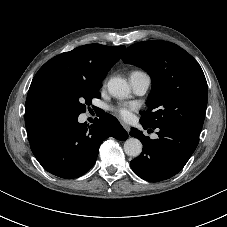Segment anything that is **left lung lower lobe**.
I'll list each match as a JSON object with an SVG mask.
<instances>
[{"instance_id": "left-lung-lower-lobe-1", "label": "left lung lower lobe", "mask_w": 227, "mask_h": 227, "mask_svg": "<svg viewBox=\"0 0 227 227\" xmlns=\"http://www.w3.org/2000/svg\"><path fill=\"white\" fill-rule=\"evenodd\" d=\"M144 129L151 128L141 122ZM155 129V128H153ZM157 139H150L142 131L131 128L130 135L143 144L142 153L130 162L132 170L144 180L157 182L176 175L195 151L199 136L171 125L157 128Z\"/></svg>"}]
</instances>
